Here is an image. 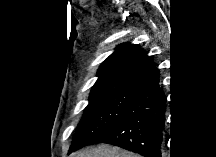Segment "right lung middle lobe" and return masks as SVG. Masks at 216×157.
<instances>
[{"label":"right lung middle lobe","instance_id":"right-lung-middle-lobe-1","mask_svg":"<svg viewBox=\"0 0 216 157\" xmlns=\"http://www.w3.org/2000/svg\"><path fill=\"white\" fill-rule=\"evenodd\" d=\"M134 91L114 90L96 97H89V104L73 136L69 153L94 143L123 115Z\"/></svg>","mask_w":216,"mask_h":157}]
</instances>
